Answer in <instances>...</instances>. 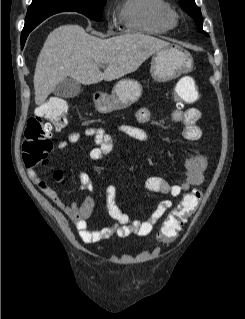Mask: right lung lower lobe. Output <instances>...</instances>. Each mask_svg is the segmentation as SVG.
<instances>
[{"instance_id":"98d812e1","label":"right lung lower lobe","mask_w":245,"mask_h":319,"mask_svg":"<svg viewBox=\"0 0 245 319\" xmlns=\"http://www.w3.org/2000/svg\"><path fill=\"white\" fill-rule=\"evenodd\" d=\"M30 31H22V36H21V45H22V47L24 46V43H25L26 38H27L28 34L30 33Z\"/></svg>"}]
</instances>
